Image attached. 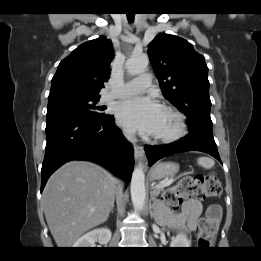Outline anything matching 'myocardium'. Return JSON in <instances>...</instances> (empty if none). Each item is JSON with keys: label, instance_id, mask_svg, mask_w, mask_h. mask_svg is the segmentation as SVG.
<instances>
[{"label": "myocardium", "instance_id": "obj_1", "mask_svg": "<svg viewBox=\"0 0 261 261\" xmlns=\"http://www.w3.org/2000/svg\"><path fill=\"white\" fill-rule=\"evenodd\" d=\"M167 114L172 116L175 120V128L174 130L165 135H156L155 139L161 143H173L180 140L187 132V122L183 113L174 109L167 108L165 110Z\"/></svg>", "mask_w": 261, "mask_h": 261}]
</instances>
